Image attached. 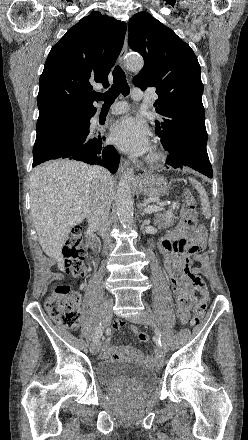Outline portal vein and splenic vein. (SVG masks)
I'll list each match as a JSON object with an SVG mask.
<instances>
[{
	"label": "portal vein and splenic vein",
	"mask_w": 248,
	"mask_h": 440,
	"mask_svg": "<svg viewBox=\"0 0 248 440\" xmlns=\"http://www.w3.org/2000/svg\"><path fill=\"white\" fill-rule=\"evenodd\" d=\"M142 206H144V211L146 213H153V212L164 210V208L161 207L160 205H146V204H142ZM73 210L75 211L76 209H73Z\"/></svg>",
	"instance_id": "18ae733b"
}]
</instances>
